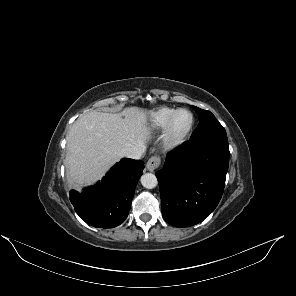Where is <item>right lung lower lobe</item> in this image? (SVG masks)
<instances>
[{
  "instance_id": "right-lung-lower-lobe-1",
  "label": "right lung lower lobe",
  "mask_w": 296,
  "mask_h": 296,
  "mask_svg": "<svg viewBox=\"0 0 296 296\" xmlns=\"http://www.w3.org/2000/svg\"><path fill=\"white\" fill-rule=\"evenodd\" d=\"M144 162L124 158L96 185L83 193L70 191L76 213L94 227L113 228L128 216L136 184L143 173Z\"/></svg>"
}]
</instances>
